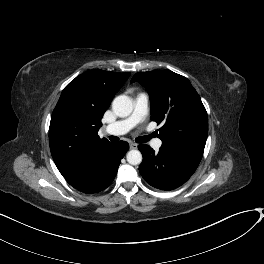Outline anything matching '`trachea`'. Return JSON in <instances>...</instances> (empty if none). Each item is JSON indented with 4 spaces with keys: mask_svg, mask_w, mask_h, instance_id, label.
Masks as SVG:
<instances>
[{
    "mask_svg": "<svg viewBox=\"0 0 264 264\" xmlns=\"http://www.w3.org/2000/svg\"><path fill=\"white\" fill-rule=\"evenodd\" d=\"M153 137V134H151V135H149V136H144V137H140V138H138V142L139 143H144V142H147L150 138H152ZM109 140L110 141H118L119 140V138L118 137H116V136H109Z\"/></svg>",
    "mask_w": 264,
    "mask_h": 264,
    "instance_id": "1",
    "label": "trachea"
}]
</instances>
